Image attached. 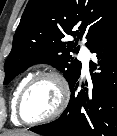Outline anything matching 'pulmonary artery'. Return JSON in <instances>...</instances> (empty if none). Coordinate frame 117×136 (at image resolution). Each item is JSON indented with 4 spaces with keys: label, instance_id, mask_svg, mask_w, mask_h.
<instances>
[{
    "label": "pulmonary artery",
    "instance_id": "e3ab8cb5",
    "mask_svg": "<svg viewBox=\"0 0 117 136\" xmlns=\"http://www.w3.org/2000/svg\"><path fill=\"white\" fill-rule=\"evenodd\" d=\"M79 58L83 64V71L87 73L89 70V61L91 58V53L87 48H82L79 52Z\"/></svg>",
    "mask_w": 117,
    "mask_h": 136
}]
</instances>
